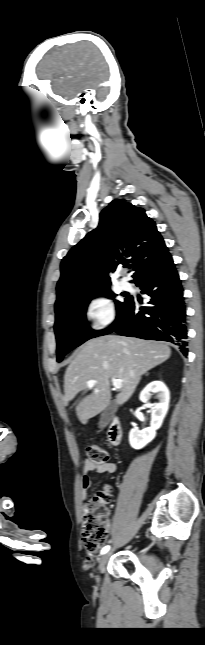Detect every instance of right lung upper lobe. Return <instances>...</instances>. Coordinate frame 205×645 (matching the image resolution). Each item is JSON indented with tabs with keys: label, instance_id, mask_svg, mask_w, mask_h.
I'll return each mask as SVG.
<instances>
[{
	"label": "right lung upper lobe",
	"instance_id": "1",
	"mask_svg": "<svg viewBox=\"0 0 205 645\" xmlns=\"http://www.w3.org/2000/svg\"><path fill=\"white\" fill-rule=\"evenodd\" d=\"M169 256L145 211L123 199L114 200L101 212L98 227L62 259L55 312L73 305L81 296L108 290V273L122 263H131L135 278Z\"/></svg>",
	"mask_w": 205,
	"mask_h": 645
}]
</instances>
